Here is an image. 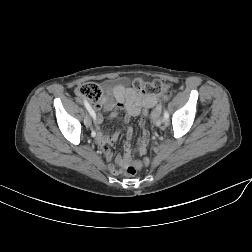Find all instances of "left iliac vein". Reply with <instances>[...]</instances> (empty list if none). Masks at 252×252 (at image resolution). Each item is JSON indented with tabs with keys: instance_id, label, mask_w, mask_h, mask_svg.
Masks as SVG:
<instances>
[{
	"instance_id": "left-iliac-vein-1",
	"label": "left iliac vein",
	"mask_w": 252,
	"mask_h": 252,
	"mask_svg": "<svg viewBox=\"0 0 252 252\" xmlns=\"http://www.w3.org/2000/svg\"><path fill=\"white\" fill-rule=\"evenodd\" d=\"M159 112H160V109L157 110L156 112H154V118H153V123L154 125L156 126H160L162 123H163V119L159 117Z\"/></svg>"
}]
</instances>
